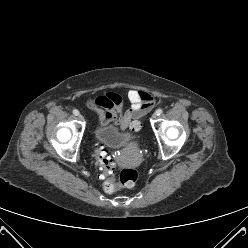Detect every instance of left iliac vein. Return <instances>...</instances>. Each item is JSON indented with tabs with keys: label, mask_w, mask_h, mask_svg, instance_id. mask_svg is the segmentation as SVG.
<instances>
[{
	"label": "left iliac vein",
	"mask_w": 248,
	"mask_h": 248,
	"mask_svg": "<svg viewBox=\"0 0 248 248\" xmlns=\"http://www.w3.org/2000/svg\"><path fill=\"white\" fill-rule=\"evenodd\" d=\"M157 114H156V112L155 113H153V115H152V119H156L157 118Z\"/></svg>",
	"instance_id": "left-iliac-vein-1"
}]
</instances>
